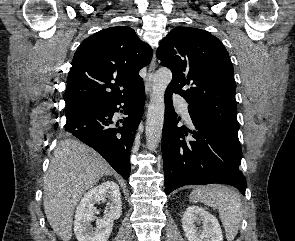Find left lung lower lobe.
I'll return each instance as SVG.
<instances>
[{
    "label": "left lung lower lobe",
    "instance_id": "obj_1",
    "mask_svg": "<svg viewBox=\"0 0 295 241\" xmlns=\"http://www.w3.org/2000/svg\"><path fill=\"white\" fill-rule=\"evenodd\" d=\"M171 94L166 90L162 133L165 193L189 184L224 183L245 195L246 179L239 170L242 151L238 132L196 117H191L194 131L178 127ZM188 132L195 141L184 140Z\"/></svg>",
    "mask_w": 295,
    "mask_h": 241
}]
</instances>
